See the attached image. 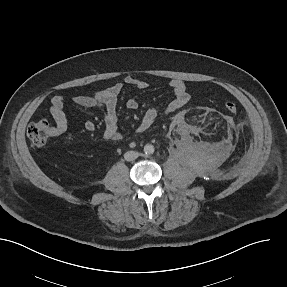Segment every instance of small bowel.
I'll return each mask as SVG.
<instances>
[{"instance_id": "1", "label": "small bowel", "mask_w": 287, "mask_h": 287, "mask_svg": "<svg viewBox=\"0 0 287 287\" xmlns=\"http://www.w3.org/2000/svg\"><path fill=\"white\" fill-rule=\"evenodd\" d=\"M126 86H132L137 89H146L148 83L144 80L137 79L131 76L125 77L109 87L100 89L88 94H81L74 96L72 102L81 107H96L100 108L104 115V132L103 137L107 141L118 142L122 140V133L118 127L117 103L118 96ZM169 87L173 92V99L165 107L164 112L170 114L185 106L189 100L190 95L187 92L186 85L179 79H173L169 83ZM139 104L137 100L131 98L126 102V107L129 110H136ZM50 113L55 121L54 133L62 134L66 131L68 119L65 113V101L60 95L54 96L50 104ZM159 116L157 108H149L143 114L135 126L137 132H144L148 130ZM88 131L95 130V123L87 120L84 124Z\"/></svg>"}]
</instances>
